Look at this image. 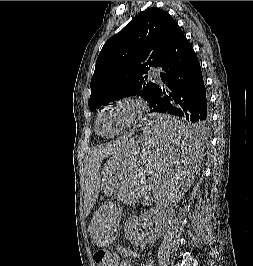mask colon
<instances>
[{
  "instance_id": "obj_1",
  "label": "colon",
  "mask_w": 253,
  "mask_h": 266,
  "mask_svg": "<svg viewBox=\"0 0 253 266\" xmlns=\"http://www.w3.org/2000/svg\"><path fill=\"white\" fill-rule=\"evenodd\" d=\"M96 266H118L116 255L104 250L97 251L94 254Z\"/></svg>"
}]
</instances>
